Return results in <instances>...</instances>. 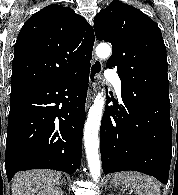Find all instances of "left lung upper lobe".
<instances>
[{
  "mask_svg": "<svg viewBox=\"0 0 178 195\" xmlns=\"http://www.w3.org/2000/svg\"><path fill=\"white\" fill-rule=\"evenodd\" d=\"M94 30L113 46L107 67L117 69L125 93L170 105L166 47L152 19L117 0L95 16Z\"/></svg>",
  "mask_w": 178,
  "mask_h": 195,
  "instance_id": "obj_1",
  "label": "left lung upper lobe"
}]
</instances>
